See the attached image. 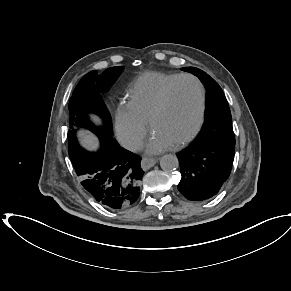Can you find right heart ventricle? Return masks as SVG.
I'll return each instance as SVG.
<instances>
[{"mask_svg": "<svg viewBox=\"0 0 291 291\" xmlns=\"http://www.w3.org/2000/svg\"><path fill=\"white\" fill-rule=\"evenodd\" d=\"M179 75L147 73L140 76L131 86L128 107L139 119L148 122L151 112L158 104L164 89Z\"/></svg>", "mask_w": 291, "mask_h": 291, "instance_id": "e07e8e85", "label": "right heart ventricle"}]
</instances>
